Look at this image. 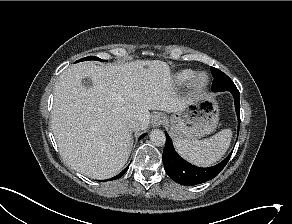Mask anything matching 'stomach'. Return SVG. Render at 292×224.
Wrapping results in <instances>:
<instances>
[{
  "instance_id": "stomach-1",
  "label": "stomach",
  "mask_w": 292,
  "mask_h": 224,
  "mask_svg": "<svg viewBox=\"0 0 292 224\" xmlns=\"http://www.w3.org/2000/svg\"><path fill=\"white\" fill-rule=\"evenodd\" d=\"M171 135L176 139L197 140L211 134L219 122V106L211 94H201L192 99L181 111L170 118Z\"/></svg>"
}]
</instances>
